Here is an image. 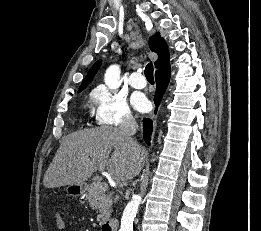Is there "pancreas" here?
<instances>
[{"label":"pancreas","mask_w":261,"mask_h":231,"mask_svg":"<svg viewBox=\"0 0 261 231\" xmlns=\"http://www.w3.org/2000/svg\"><path fill=\"white\" fill-rule=\"evenodd\" d=\"M102 180L99 177L94 178V181L87 187L86 198L88 199L91 208L94 210H99L97 216V221L102 223L110 217L111 206L113 204V199L111 194H107L103 191L100 186Z\"/></svg>","instance_id":"cf45deb5"}]
</instances>
